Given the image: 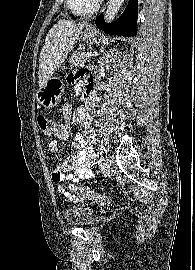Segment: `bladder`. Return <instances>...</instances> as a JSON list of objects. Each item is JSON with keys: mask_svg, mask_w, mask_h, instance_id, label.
<instances>
[{"mask_svg": "<svg viewBox=\"0 0 195 270\" xmlns=\"http://www.w3.org/2000/svg\"><path fill=\"white\" fill-rule=\"evenodd\" d=\"M68 224L77 227H89L97 220V213L85 205L69 207L64 213Z\"/></svg>", "mask_w": 195, "mask_h": 270, "instance_id": "obj_1", "label": "bladder"}]
</instances>
